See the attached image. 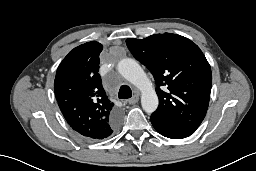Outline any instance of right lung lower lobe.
Masks as SVG:
<instances>
[{
	"instance_id": "obj_1",
	"label": "right lung lower lobe",
	"mask_w": 256,
	"mask_h": 171,
	"mask_svg": "<svg viewBox=\"0 0 256 171\" xmlns=\"http://www.w3.org/2000/svg\"><path fill=\"white\" fill-rule=\"evenodd\" d=\"M119 123H120V114L117 112L116 114H114L112 116V118L110 120L109 127H110L111 131H114L118 127Z\"/></svg>"
}]
</instances>
